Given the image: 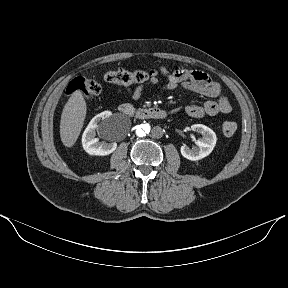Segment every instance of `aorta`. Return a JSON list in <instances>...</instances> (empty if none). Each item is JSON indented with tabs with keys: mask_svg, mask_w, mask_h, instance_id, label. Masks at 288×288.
I'll return each mask as SVG.
<instances>
[{
	"mask_svg": "<svg viewBox=\"0 0 288 288\" xmlns=\"http://www.w3.org/2000/svg\"><path fill=\"white\" fill-rule=\"evenodd\" d=\"M151 131V126L147 122H142L134 129V134L138 138H145Z\"/></svg>",
	"mask_w": 288,
	"mask_h": 288,
	"instance_id": "obj_1",
	"label": "aorta"
}]
</instances>
